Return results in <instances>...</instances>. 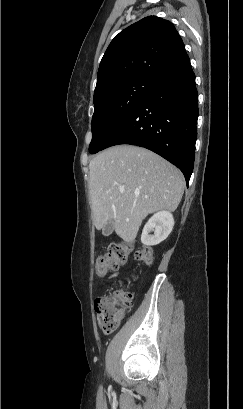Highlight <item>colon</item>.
<instances>
[{
  "label": "colon",
  "instance_id": "1",
  "mask_svg": "<svg viewBox=\"0 0 243 409\" xmlns=\"http://www.w3.org/2000/svg\"><path fill=\"white\" fill-rule=\"evenodd\" d=\"M130 246L114 243L108 247L107 252L99 256L95 263L96 274L106 276L109 272L117 270L124 265L130 253ZM138 260L147 264L152 263L153 252L149 246H143L136 251ZM133 294L128 290L117 291L110 297H99L96 300V312L100 327L104 333H113L123 320L126 311L131 307Z\"/></svg>",
  "mask_w": 243,
  "mask_h": 409
}]
</instances>
